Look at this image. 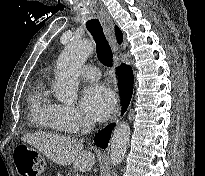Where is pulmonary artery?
<instances>
[{
  "mask_svg": "<svg viewBox=\"0 0 205 176\" xmlns=\"http://www.w3.org/2000/svg\"><path fill=\"white\" fill-rule=\"evenodd\" d=\"M79 73L81 77L91 81H95L100 77V72L98 68L92 65H83L80 68Z\"/></svg>",
  "mask_w": 205,
  "mask_h": 176,
  "instance_id": "e3ab8cb5",
  "label": "pulmonary artery"
}]
</instances>
